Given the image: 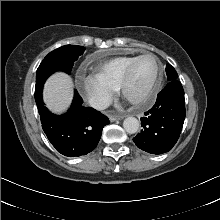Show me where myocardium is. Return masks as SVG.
<instances>
[{"label":"myocardium","mask_w":220,"mask_h":220,"mask_svg":"<svg viewBox=\"0 0 220 220\" xmlns=\"http://www.w3.org/2000/svg\"><path fill=\"white\" fill-rule=\"evenodd\" d=\"M147 56H151L156 60V63H157L156 75H155L152 83L150 84V86L148 87V89L145 91V93L142 96H140L138 98H131L127 95V88H128L129 83L131 81L133 70H134L136 64L142 58L147 57ZM161 78H162V63H161L160 59L154 53L146 52L141 55H138L128 65V67L126 68V70L123 74V77L121 79V82L119 85V90H120L122 97L125 98L128 102H130L131 104H133L135 106H140V105H143L144 103H146L152 97V95L154 94V92L158 88V85L161 81Z\"/></svg>","instance_id":"f54148a6"}]
</instances>
